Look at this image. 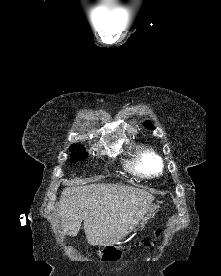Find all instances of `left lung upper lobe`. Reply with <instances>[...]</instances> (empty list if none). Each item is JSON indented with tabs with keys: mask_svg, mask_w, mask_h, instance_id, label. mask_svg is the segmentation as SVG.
<instances>
[{
	"mask_svg": "<svg viewBox=\"0 0 221 276\" xmlns=\"http://www.w3.org/2000/svg\"><path fill=\"white\" fill-rule=\"evenodd\" d=\"M145 127L148 129H152L153 125L150 123V121L145 122Z\"/></svg>",
	"mask_w": 221,
	"mask_h": 276,
	"instance_id": "5c2ea615",
	"label": "left lung upper lobe"
}]
</instances>
